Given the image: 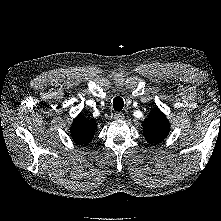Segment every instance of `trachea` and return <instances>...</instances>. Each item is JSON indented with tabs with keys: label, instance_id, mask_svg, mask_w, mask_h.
<instances>
[{
	"label": "trachea",
	"instance_id": "obj_1",
	"mask_svg": "<svg viewBox=\"0 0 221 221\" xmlns=\"http://www.w3.org/2000/svg\"><path fill=\"white\" fill-rule=\"evenodd\" d=\"M124 107V101L121 97H115L113 100V108L114 110H122Z\"/></svg>",
	"mask_w": 221,
	"mask_h": 221
}]
</instances>
